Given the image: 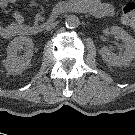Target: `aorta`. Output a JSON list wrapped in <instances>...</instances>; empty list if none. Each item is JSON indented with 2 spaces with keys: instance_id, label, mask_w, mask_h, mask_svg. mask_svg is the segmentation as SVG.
<instances>
[{
  "instance_id": "762f6f07",
  "label": "aorta",
  "mask_w": 135,
  "mask_h": 135,
  "mask_svg": "<svg viewBox=\"0 0 135 135\" xmlns=\"http://www.w3.org/2000/svg\"><path fill=\"white\" fill-rule=\"evenodd\" d=\"M65 24L67 28H77L80 24V20L76 15H68L65 19Z\"/></svg>"
}]
</instances>
